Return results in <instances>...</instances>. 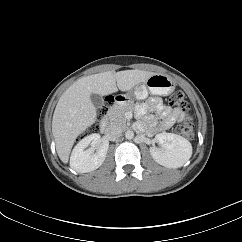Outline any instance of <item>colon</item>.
I'll return each instance as SVG.
<instances>
[{
  "label": "colon",
  "mask_w": 242,
  "mask_h": 242,
  "mask_svg": "<svg viewBox=\"0 0 242 242\" xmlns=\"http://www.w3.org/2000/svg\"><path fill=\"white\" fill-rule=\"evenodd\" d=\"M114 98L109 97L104 106L99 110L98 116L99 118H103L107 113L110 106L113 104ZM169 104L176 108L179 111H186L188 109L187 101L182 91H175L169 97ZM97 125L93 126V129H96ZM178 132L185 136L186 138L193 139L194 138V125L192 119L189 116L183 118L181 123L178 126Z\"/></svg>",
  "instance_id": "obj_1"
}]
</instances>
